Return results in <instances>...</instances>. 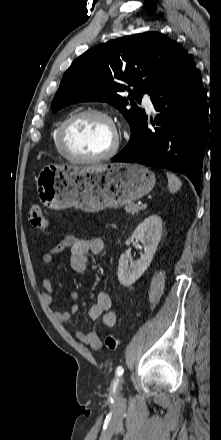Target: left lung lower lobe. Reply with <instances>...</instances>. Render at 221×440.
<instances>
[{
  "label": "left lung lower lobe",
  "mask_w": 221,
  "mask_h": 440,
  "mask_svg": "<svg viewBox=\"0 0 221 440\" xmlns=\"http://www.w3.org/2000/svg\"><path fill=\"white\" fill-rule=\"evenodd\" d=\"M156 128L145 116L113 162L141 163L186 175L200 193V171L209 132L206 93L195 67L182 53L151 93Z\"/></svg>",
  "instance_id": "left-lung-lower-lobe-1"
}]
</instances>
